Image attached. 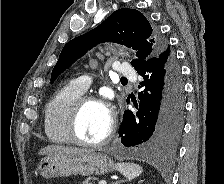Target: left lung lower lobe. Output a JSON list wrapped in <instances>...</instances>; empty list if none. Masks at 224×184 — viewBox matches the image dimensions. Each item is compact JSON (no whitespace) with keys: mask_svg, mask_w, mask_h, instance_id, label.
<instances>
[{"mask_svg":"<svg viewBox=\"0 0 224 184\" xmlns=\"http://www.w3.org/2000/svg\"><path fill=\"white\" fill-rule=\"evenodd\" d=\"M143 76L137 113L126 110L119 130L125 147H142L154 154L175 148L182 132L184 86L170 47L137 70ZM137 107V104H136Z\"/></svg>","mask_w":224,"mask_h":184,"instance_id":"obj_1","label":"left lung lower lobe"}]
</instances>
